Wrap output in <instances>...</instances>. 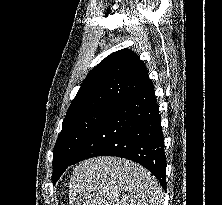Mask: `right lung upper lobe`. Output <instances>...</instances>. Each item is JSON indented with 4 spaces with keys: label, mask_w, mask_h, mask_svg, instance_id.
<instances>
[{
    "label": "right lung upper lobe",
    "mask_w": 222,
    "mask_h": 205,
    "mask_svg": "<svg viewBox=\"0 0 222 205\" xmlns=\"http://www.w3.org/2000/svg\"><path fill=\"white\" fill-rule=\"evenodd\" d=\"M150 83L145 64L133 51H116L89 72L65 118L95 108L114 107L130 93Z\"/></svg>",
    "instance_id": "cb5924a9"
}]
</instances>
